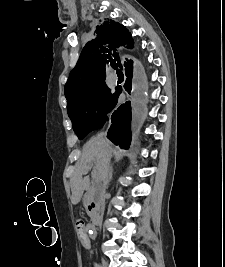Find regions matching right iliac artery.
<instances>
[{
  "mask_svg": "<svg viewBox=\"0 0 225 267\" xmlns=\"http://www.w3.org/2000/svg\"><path fill=\"white\" fill-rule=\"evenodd\" d=\"M89 233H90V234H92V233H93V231H92V230H90V231H89ZM94 267H100V266H99V264L95 263V264H94Z\"/></svg>",
  "mask_w": 225,
  "mask_h": 267,
  "instance_id": "1",
  "label": "right iliac artery"
}]
</instances>
